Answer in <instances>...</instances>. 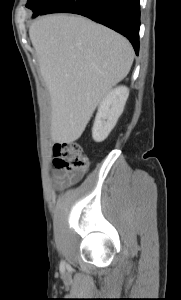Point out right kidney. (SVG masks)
<instances>
[{
  "label": "right kidney",
  "instance_id": "obj_1",
  "mask_svg": "<svg viewBox=\"0 0 181 300\" xmlns=\"http://www.w3.org/2000/svg\"><path fill=\"white\" fill-rule=\"evenodd\" d=\"M129 96V89L118 86L110 91L100 103L92 129L95 142L104 141L115 127Z\"/></svg>",
  "mask_w": 181,
  "mask_h": 300
}]
</instances>
